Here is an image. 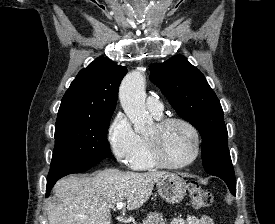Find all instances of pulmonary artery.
Here are the masks:
<instances>
[{
	"mask_svg": "<svg viewBox=\"0 0 275 224\" xmlns=\"http://www.w3.org/2000/svg\"><path fill=\"white\" fill-rule=\"evenodd\" d=\"M146 106L151 113L156 115L162 114L163 105L161 100L157 96H154V95L148 96L146 101Z\"/></svg>",
	"mask_w": 275,
	"mask_h": 224,
	"instance_id": "1",
	"label": "pulmonary artery"
}]
</instances>
